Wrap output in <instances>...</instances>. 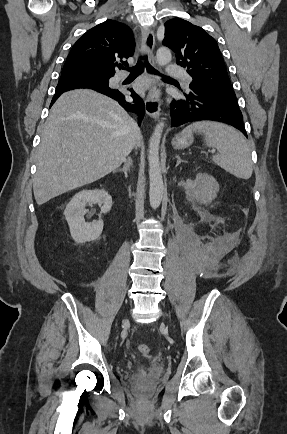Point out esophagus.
<instances>
[{
	"instance_id": "obj_1",
	"label": "esophagus",
	"mask_w": 287,
	"mask_h": 434,
	"mask_svg": "<svg viewBox=\"0 0 287 434\" xmlns=\"http://www.w3.org/2000/svg\"><path fill=\"white\" fill-rule=\"evenodd\" d=\"M142 53H148L149 62L154 65V45H155V37L154 33L151 29L142 28ZM145 86L148 90V93L145 97V110L146 113L153 117L158 118L161 111V98H160V89L161 85L159 80L155 76H151L149 74H145Z\"/></svg>"
}]
</instances>
